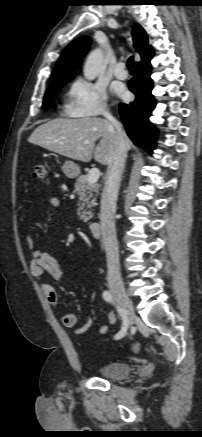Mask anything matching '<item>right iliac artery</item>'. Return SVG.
<instances>
[{
	"label": "right iliac artery",
	"instance_id": "82829eb1",
	"mask_svg": "<svg viewBox=\"0 0 202 437\" xmlns=\"http://www.w3.org/2000/svg\"><path fill=\"white\" fill-rule=\"evenodd\" d=\"M102 296H103V299H104L105 301H107V302L112 303V304L115 305V307H116V309H117L119 315L121 316V318H122V320H123V325H122L121 330H120V331L115 335V337H114L116 340L121 339V338L125 335L126 330H127V327H128L126 311H125L124 308L120 307L119 305H117V304L115 303L114 297H113V295L111 294L110 291L105 290V291L103 292V295H102Z\"/></svg>",
	"mask_w": 202,
	"mask_h": 437
}]
</instances>
